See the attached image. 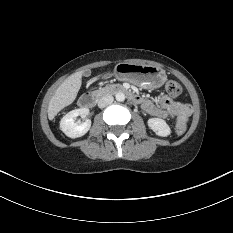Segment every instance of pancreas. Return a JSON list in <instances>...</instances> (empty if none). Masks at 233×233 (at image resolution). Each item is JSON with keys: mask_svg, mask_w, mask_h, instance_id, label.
<instances>
[{"mask_svg": "<svg viewBox=\"0 0 233 233\" xmlns=\"http://www.w3.org/2000/svg\"><path fill=\"white\" fill-rule=\"evenodd\" d=\"M97 93H98V94L104 93V89L97 90Z\"/></svg>", "mask_w": 233, "mask_h": 233, "instance_id": "cf45deb5", "label": "pancreas"}]
</instances>
